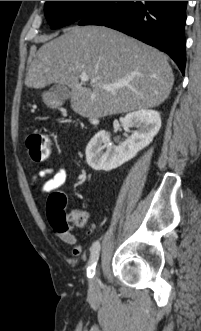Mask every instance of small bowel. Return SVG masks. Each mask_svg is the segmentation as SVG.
Listing matches in <instances>:
<instances>
[{
    "label": "small bowel",
    "mask_w": 201,
    "mask_h": 331,
    "mask_svg": "<svg viewBox=\"0 0 201 331\" xmlns=\"http://www.w3.org/2000/svg\"><path fill=\"white\" fill-rule=\"evenodd\" d=\"M43 179L41 184L42 193H50L59 190L67 180V170L64 168L53 169L44 168L35 176L34 182ZM57 236L66 244L72 246V253L78 255L81 253V247L77 244V238L67 227L56 229Z\"/></svg>",
    "instance_id": "obj_1"
}]
</instances>
